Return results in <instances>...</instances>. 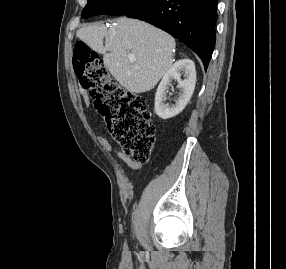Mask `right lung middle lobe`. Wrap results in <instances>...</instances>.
<instances>
[{"label":"right lung middle lobe","instance_id":"dd1d6c3e","mask_svg":"<svg viewBox=\"0 0 286 269\" xmlns=\"http://www.w3.org/2000/svg\"><path fill=\"white\" fill-rule=\"evenodd\" d=\"M87 5L82 11V18L94 15H128L151 0H87Z\"/></svg>","mask_w":286,"mask_h":269}]
</instances>
